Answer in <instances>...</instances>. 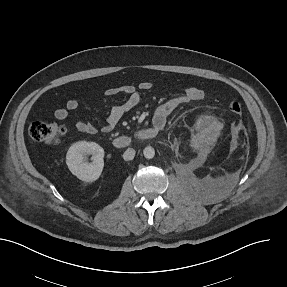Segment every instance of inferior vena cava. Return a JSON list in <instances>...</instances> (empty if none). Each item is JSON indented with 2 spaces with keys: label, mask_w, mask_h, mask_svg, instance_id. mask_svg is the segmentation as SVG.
I'll list each match as a JSON object with an SVG mask.
<instances>
[{
  "label": "inferior vena cava",
  "mask_w": 287,
  "mask_h": 287,
  "mask_svg": "<svg viewBox=\"0 0 287 287\" xmlns=\"http://www.w3.org/2000/svg\"><path fill=\"white\" fill-rule=\"evenodd\" d=\"M135 153L136 151L133 148H128L123 154V159L125 161L132 160L134 159Z\"/></svg>",
  "instance_id": "602c4592"
}]
</instances>
